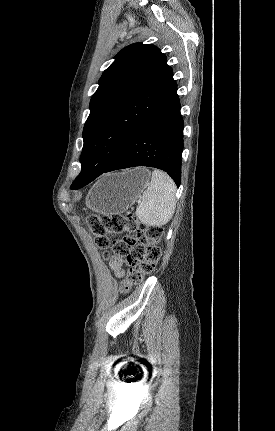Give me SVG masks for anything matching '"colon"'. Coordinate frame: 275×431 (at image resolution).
Here are the masks:
<instances>
[{"label": "colon", "instance_id": "1", "mask_svg": "<svg viewBox=\"0 0 275 431\" xmlns=\"http://www.w3.org/2000/svg\"><path fill=\"white\" fill-rule=\"evenodd\" d=\"M86 224L107 257L117 255L125 259L127 273L122 282L123 291L155 270L161 255L158 246L164 233L161 226L142 224L130 213L90 215ZM111 234L120 237L110 241Z\"/></svg>", "mask_w": 275, "mask_h": 431}]
</instances>
